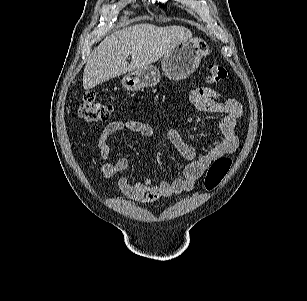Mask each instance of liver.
<instances>
[{
    "instance_id": "6515ba94",
    "label": "liver",
    "mask_w": 307,
    "mask_h": 301,
    "mask_svg": "<svg viewBox=\"0 0 307 301\" xmlns=\"http://www.w3.org/2000/svg\"><path fill=\"white\" fill-rule=\"evenodd\" d=\"M192 33L182 26L137 24L107 36L88 59L83 73L85 90L158 61ZM131 55V63L126 58Z\"/></svg>"
}]
</instances>
